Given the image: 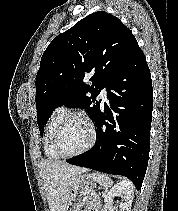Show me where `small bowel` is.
<instances>
[{
    "label": "small bowel",
    "mask_w": 178,
    "mask_h": 211,
    "mask_svg": "<svg viewBox=\"0 0 178 211\" xmlns=\"http://www.w3.org/2000/svg\"><path fill=\"white\" fill-rule=\"evenodd\" d=\"M83 211H99L98 209L83 210Z\"/></svg>",
    "instance_id": "small-bowel-1"
}]
</instances>
